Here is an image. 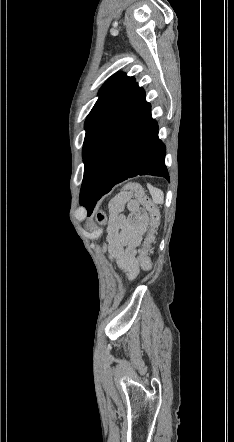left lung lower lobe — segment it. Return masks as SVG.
I'll return each instance as SVG.
<instances>
[{
  "label": "left lung lower lobe",
  "instance_id": "left-lung-lower-lobe-1",
  "mask_svg": "<svg viewBox=\"0 0 234 442\" xmlns=\"http://www.w3.org/2000/svg\"><path fill=\"white\" fill-rule=\"evenodd\" d=\"M165 153L151 106L144 90L135 83L83 146L85 170L80 203L91 212L114 185L136 175L169 180Z\"/></svg>",
  "mask_w": 234,
  "mask_h": 442
}]
</instances>
